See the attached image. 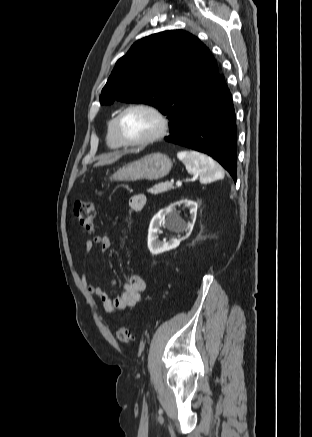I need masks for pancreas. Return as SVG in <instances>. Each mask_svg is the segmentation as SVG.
I'll use <instances>...</instances> for the list:
<instances>
[{"label": "pancreas", "instance_id": "obj_1", "mask_svg": "<svg viewBox=\"0 0 312 437\" xmlns=\"http://www.w3.org/2000/svg\"><path fill=\"white\" fill-rule=\"evenodd\" d=\"M173 188L174 187H173L172 183L165 182V183H160L158 185H155L153 188L148 189V192L151 194L157 195V194L169 191Z\"/></svg>", "mask_w": 312, "mask_h": 437}]
</instances>
